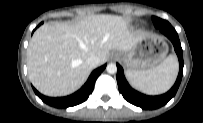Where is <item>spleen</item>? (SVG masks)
Here are the masks:
<instances>
[{"mask_svg":"<svg viewBox=\"0 0 203 123\" xmlns=\"http://www.w3.org/2000/svg\"><path fill=\"white\" fill-rule=\"evenodd\" d=\"M177 73V58L169 55L155 68L146 71L127 70L126 77L134 88L149 95H156L170 89Z\"/></svg>","mask_w":203,"mask_h":123,"instance_id":"spleen-1","label":"spleen"}]
</instances>
